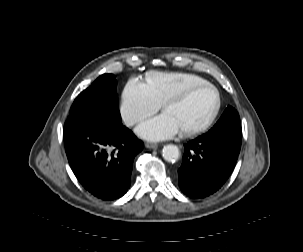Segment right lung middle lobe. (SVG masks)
Segmentation results:
<instances>
[{"instance_id": "obj_1", "label": "right lung middle lobe", "mask_w": 303, "mask_h": 252, "mask_svg": "<svg viewBox=\"0 0 303 252\" xmlns=\"http://www.w3.org/2000/svg\"><path fill=\"white\" fill-rule=\"evenodd\" d=\"M117 81L112 74L101 75L75 99L69 117L88 113H104L121 120L116 93Z\"/></svg>"}]
</instances>
